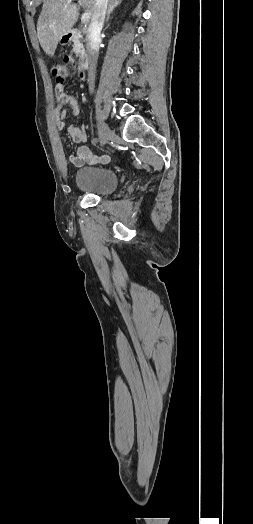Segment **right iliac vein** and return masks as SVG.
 <instances>
[{
  "mask_svg": "<svg viewBox=\"0 0 253 524\" xmlns=\"http://www.w3.org/2000/svg\"><path fill=\"white\" fill-rule=\"evenodd\" d=\"M98 132L101 144H106L113 135V132L103 120H98Z\"/></svg>",
  "mask_w": 253,
  "mask_h": 524,
  "instance_id": "right-iliac-vein-1",
  "label": "right iliac vein"
}]
</instances>
